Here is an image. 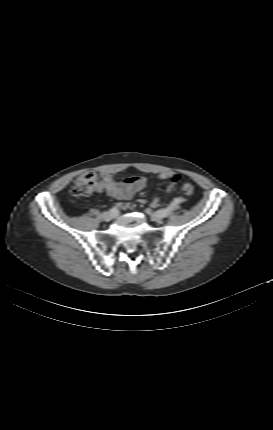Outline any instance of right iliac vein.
<instances>
[{
  "mask_svg": "<svg viewBox=\"0 0 273 430\" xmlns=\"http://www.w3.org/2000/svg\"><path fill=\"white\" fill-rule=\"evenodd\" d=\"M102 216L105 221H110L116 217V214L112 210H110V211L104 212Z\"/></svg>",
  "mask_w": 273,
  "mask_h": 430,
  "instance_id": "1",
  "label": "right iliac vein"
}]
</instances>
